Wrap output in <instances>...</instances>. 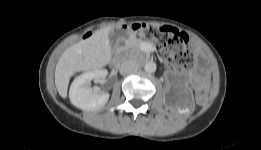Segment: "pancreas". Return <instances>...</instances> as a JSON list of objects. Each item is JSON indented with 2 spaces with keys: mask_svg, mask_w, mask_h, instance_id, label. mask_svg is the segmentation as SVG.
<instances>
[{
  "mask_svg": "<svg viewBox=\"0 0 261 150\" xmlns=\"http://www.w3.org/2000/svg\"><path fill=\"white\" fill-rule=\"evenodd\" d=\"M143 41L142 40H135V46L137 47V48H139V46H140V44L142 43ZM141 56H145V54L144 53H139Z\"/></svg>",
  "mask_w": 261,
  "mask_h": 150,
  "instance_id": "cf45deb5",
  "label": "pancreas"
}]
</instances>
